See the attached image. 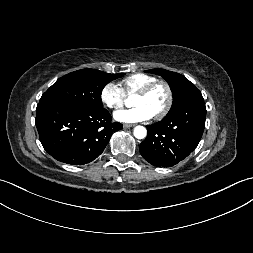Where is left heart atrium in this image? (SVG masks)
Here are the masks:
<instances>
[{
  "mask_svg": "<svg viewBox=\"0 0 253 253\" xmlns=\"http://www.w3.org/2000/svg\"><path fill=\"white\" fill-rule=\"evenodd\" d=\"M114 117L119 122L136 123L151 119L153 114L144 105H135L115 112Z\"/></svg>",
  "mask_w": 253,
  "mask_h": 253,
  "instance_id": "obj_1",
  "label": "left heart atrium"
}]
</instances>
